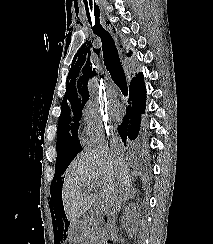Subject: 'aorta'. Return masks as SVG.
Listing matches in <instances>:
<instances>
[{"label": "aorta", "instance_id": "aorta-1", "mask_svg": "<svg viewBox=\"0 0 213 244\" xmlns=\"http://www.w3.org/2000/svg\"><path fill=\"white\" fill-rule=\"evenodd\" d=\"M93 90H94V80H91L89 83V91L93 92Z\"/></svg>", "mask_w": 213, "mask_h": 244}]
</instances>
